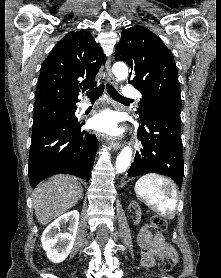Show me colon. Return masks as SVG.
<instances>
[{"instance_id":"obj_1","label":"colon","mask_w":221,"mask_h":278,"mask_svg":"<svg viewBox=\"0 0 221 278\" xmlns=\"http://www.w3.org/2000/svg\"><path fill=\"white\" fill-rule=\"evenodd\" d=\"M168 227L167 220L160 216H154L151 220V228L155 233H162ZM175 259L164 249L158 261L159 269L162 272H170L174 268Z\"/></svg>"}]
</instances>
